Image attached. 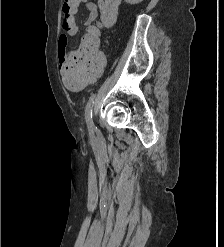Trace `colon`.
Returning a JSON list of instances; mask_svg holds the SVG:
<instances>
[{
	"label": "colon",
	"mask_w": 224,
	"mask_h": 247,
	"mask_svg": "<svg viewBox=\"0 0 224 247\" xmlns=\"http://www.w3.org/2000/svg\"><path fill=\"white\" fill-rule=\"evenodd\" d=\"M97 4L101 15V25L111 26L116 20L120 0H98ZM79 7V0H64L62 19L74 18ZM102 70L103 60L99 55L98 30L92 28L84 36L78 53L60 64V72L66 85L75 89L100 76Z\"/></svg>",
	"instance_id": "5ec220e1"
}]
</instances>
